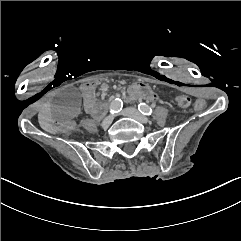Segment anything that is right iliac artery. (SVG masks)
<instances>
[{"mask_svg":"<svg viewBox=\"0 0 241 241\" xmlns=\"http://www.w3.org/2000/svg\"><path fill=\"white\" fill-rule=\"evenodd\" d=\"M123 107V102L121 99L116 98L110 105V113L114 114V113H118L122 110Z\"/></svg>","mask_w":241,"mask_h":241,"instance_id":"82829eb1","label":"right iliac artery"}]
</instances>
